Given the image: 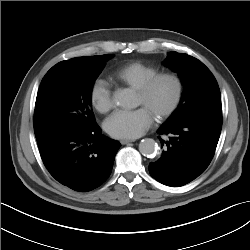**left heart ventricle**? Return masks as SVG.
Instances as JSON below:
<instances>
[{"instance_id": "1", "label": "left heart ventricle", "mask_w": 250, "mask_h": 250, "mask_svg": "<svg viewBox=\"0 0 250 250\" xmlns=\"http://www.w3.org/2000/svg\"><path fill=\"white\" fill-rule=\"evenodd\" d=\"M174 95V86L169 81H161L153 88L151 93L143 98L137 93V105L146 107L153 116L166 108Z\"/></svg>"}]
</instances>
